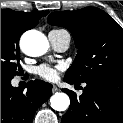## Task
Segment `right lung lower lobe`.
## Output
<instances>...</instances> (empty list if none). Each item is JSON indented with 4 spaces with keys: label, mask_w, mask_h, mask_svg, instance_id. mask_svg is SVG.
Returning <instances> with one entry per match:
<instances>
[{
    "label": "right lung lower lobe",
    "mask_w": 123,
    "mask_h": 123,
    "mask_svg": "<svg viewBox=\"0 0 123 123\" xmlns=\"http://www.w3.org/2000/svg\"><path fill=\"white\" fill-rule=\"evenodd\" d=\"M10 81H1V123H32L36 110L52 95V85L42 80L30 81L27 91Z\"/></svg>",
    "instance_id": "98d812e1"
}]
</instances>
